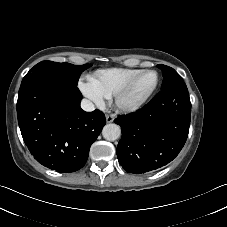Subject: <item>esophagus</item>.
I'll list each match as a JSON object with an SVG mask.
<instances>
[{"mask_svg":"<svg viewBox=\"0 0 227 227\" xmlns=\"http://www.w3.org/2000/svg\"><path fill=\"white\" fill-rule=\"evenodd\" d=\"M105 119L107 123H112L114 121V116L113 115H105Z\"/></svg>","mask_w":227,"mask_h":227,"instance_id":"34e87169","label":"esophagus"}]
</instances>
